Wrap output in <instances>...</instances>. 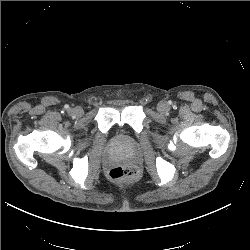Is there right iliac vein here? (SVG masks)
<instances>
[{
  "instance_id": "63e3f726",
  "label": "right iliac vein",
  "mask_w": 250,
  "mask_h": 250,
  "mask_svg": "<svg viewBox=\"0 0 250 250\" xmlns=\"http://www.w3.org/2000/svg\"><path fill=\"white\" fill-rule=\"evenodd\" d=\"M69 114L71 115V116H82L83 115V110H82V108H80V107H76V108H74V109H70L69 110Z\"/></svg>"
}]
</instances>
